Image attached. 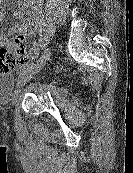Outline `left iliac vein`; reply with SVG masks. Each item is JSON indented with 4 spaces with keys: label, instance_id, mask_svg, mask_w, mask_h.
Masks as SVG:
<instances>
[{
    "label": "left iliac vein",
    "instance_id": "1",
    "mask_svg": "<svg viewBox=\"0 0 133 173\" xmlns=\"http://www.w3.org/2000/svg\"><path fill=\"white\" fill-rule=\"evenodd\" d=\"M49 57L41 58L36 62V65L30 69H28L26 72L21 74L18 78L17 87H22L25 85L34 75H36L46 64Z\"/></svg>",
    "mask_w": 133,
    "mask_h": 173
}]
</instances>
